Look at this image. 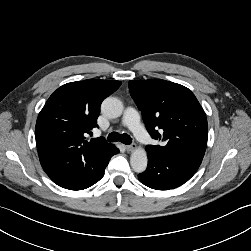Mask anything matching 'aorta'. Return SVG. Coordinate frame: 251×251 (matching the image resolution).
<instances>
[{"mask_svg": "<svg viewBox=\"0 0 251 251\" xmlns=\"http://www.w3.org/2000/svg\"><path fill=\"white\" fill-rule=\"evenodd\" d=\"M123 103L115 97H107L101 104L102 113L108 118L120 117L123 113ZM147 153L142 148L135 149L130 157V164L137 173H142L147 168Z\"/></svg>", "mask_w": 251, "mask_h": 251, "instance_id": "aorta-1", "label": "aorta"}]
</instances>
